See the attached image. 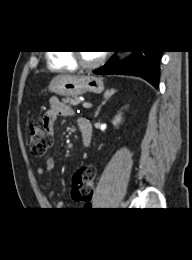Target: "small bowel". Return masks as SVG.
I'll use <instances>...</instances> for the list:
<instances>
[{
    "label": "small bowel",
    "instance_id": "small-bowel-1",
    "mask_svg": "<svg viewBox=\"0 0 192 260\" xmlns=\"http://www.w3.org/2000/svg\"><path fill=\"white\" fill-rule=\"evenodd\" d=\"M72 110L69 106L61 102L57 97H51L49 99V106L43 115L42 124L45 129L52 135L54 132L55 121L58 116H70ZM55 169V161L52 158L46 160L44 167L37 169L39 176H44L47 172H51ZM77 201H75V204ZM58 208L64 207V202L60 201L57 204Z\"/></svg>",
    "mask_w": 192,
    "mask_h": 260
}]
</instances>
